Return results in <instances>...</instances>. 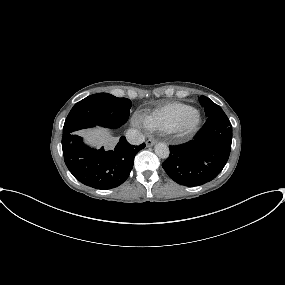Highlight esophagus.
<instances>
[{"label": "esophagus", "mask_w": 285, "mask_h": 285, "mask_svg": "<svg viewBox=\"0 0 285 285\" xmlns=\"http://www.w3.org/2000/svg\"><path fill=\"white\" fill-rule=\"evenodd\" d=\"M155 143H156V141L154 139H149L146 141V146L152 147Z\"/></svg>", "instance_id": "1"}]
</instances>
